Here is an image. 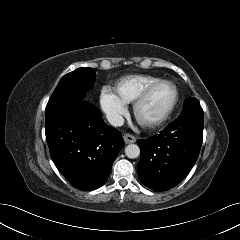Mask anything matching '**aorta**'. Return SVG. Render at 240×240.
<instances>
[{
    "instance_id": "1",
    "label": "aorta",
    "mask_w": 240,
    "mask_h": 240,
    "mask_svg": "<svg viewBox=\"0 0 240 240\" xmlns=\"http://www.w3.org/2000/svg\"><path fill=\"white\" fill-rule=\"evenodd\" d=\"M125 155L130 159H135L140 155V148L136 144H129L125 147Z\"/></svg>"
}]
</instances>
